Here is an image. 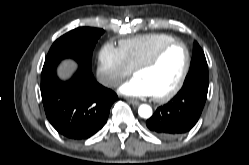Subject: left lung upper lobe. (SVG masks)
Listing matches in <instances>:
<instances>
[{
	"instance_id": "5c2ea615",
	"label": "left lung upper lobe",
	"mask_w": 249,
	"mask_h": 165,
	"mask_svg": "<svg viewBox=\"0 0 249 165\" xmlns=\"http://www.w3.org/2000/svg\"><path fill=\"white\" fill-rule=\"evenodd\" d=\"M206 78L208 79V66L203 50L197 42L194 43V53L191 61L189 73L185 81L193 78Z\"/></svg>"
}]
</instances>
